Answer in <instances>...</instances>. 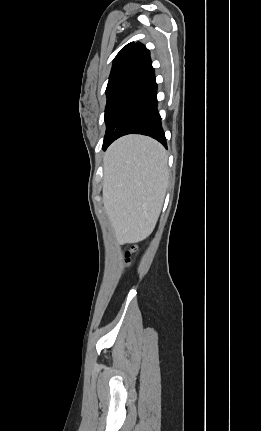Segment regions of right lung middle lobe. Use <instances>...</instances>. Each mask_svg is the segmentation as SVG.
Returning a JSON list of instances; mask_svg holds the SVG:
<instances>
[{
  "label": "right lung middle lobe",
  "instance_id": "right-lung-middle-lobe-1",
  "mask_svg": "<svg viewBox=\"0 0 261 431\" xmlns=\"http://www.w3.org/2000/svg\"><path fill=\"white\" fill-rule=\"evenodd\" d=\"M139 72H129L123 74L113 80H109L106 95H107V103L105 107V122H106V133L104 137L103 146L109 140L110 133L109 129L111 127L115 111L120 104V101L135 81Z\"/></svg>",
  "mask_w": 261,
  "mask_h": 431
}]
</instances>
